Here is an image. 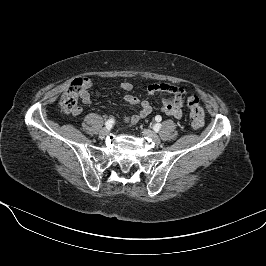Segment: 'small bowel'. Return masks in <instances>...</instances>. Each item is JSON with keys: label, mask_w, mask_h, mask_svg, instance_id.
I'll use <instances>...</instances> for the list:
<instances>
[{"label": "small bowel", "mask_w": 266, "mask_h": 266, "mask_svg": "<svg viewBox=\"0 0 266 266\" xmlns=\"http://www.w3.org/2000/svg\"><path fill=\"white\" fill-rule=\"evenodd\" d=\"M93 83L90 78L85 77L81 79V89H80V99L84 104H90L92 102L90 89ZM122 90L129 92L132 90L133 85L130 82H122L120 84ZM146 93L149 96H161L162 97V112L173 116L177 119L181 118L183 115V105L185 101V90L179 86L161 83V84H150L146 88ZM124 101L130 106H136L140 104V109L134 114L128 116L125 121L129 125L136 124L142 118L148 116L152 112L151 104L144 100H140L131 94H126L124 96ZM81 113V108L78 107L72 114L77 116Z\"/></svg>", "instance_id": "obj_1"}]
</instances>
